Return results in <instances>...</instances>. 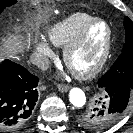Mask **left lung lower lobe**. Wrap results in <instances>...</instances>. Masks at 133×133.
<instances>
[{"label":"left lung lower lobe","mask_w":133,"mask_h":133,"mask_svg":"<svg viewBox=\"0 0 133 133\" xmlns=\"http://www.w3.org/2000/svg\"><path fill=\"white\" fill-rule=\"evenodd\" d=\"M103 88L106 91L104 108L98 109L95 117L101 119L106 114L115 115L114 124L127 111L133 89L123 85H107Z\"/></svg>","instance_id":"left-lung-lower-lobe-1"}]
</instances>
